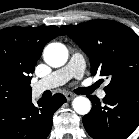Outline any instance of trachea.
<instances>
[{
	"mask_svg": "<svg viewBox=\"0 0 139 139\" xmlns=\"http://www.w3.org/2000/svg\"><path fill=\"white\" fill-rule=\"evenodd\" d=\"M95 88H96V86H92V87H88V88H81L78 90V92L88 94V93H91Z\"/></svg>",
	"mask_w": 139,
	"mask_h": 139,
	"instance_id": "obj_1",
	"label": "trachea"
}]
</instances>
